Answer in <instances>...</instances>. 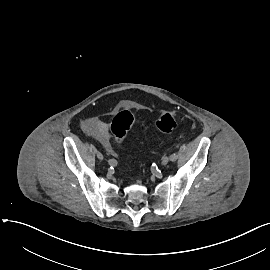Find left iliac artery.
Listing matches in <instances>:
<instances>
[{
    "mask_svg": "<svg viewBox=\"0 0 270 270\" xmlns=\"http://www.w3.org/2000/svg\"><path fill=\"white\" fill-rule=\"evenodd\" d=\"M177 158H178L177 153H173V154L170 155V160H171L172 162L176 161Z\"/></svg>",
    "mask_w": 270,
    "mask_h": 270,
    "instance_id": "left-iliac-artery-1",
    "label": "left iliac artery"
}]
</instances>
